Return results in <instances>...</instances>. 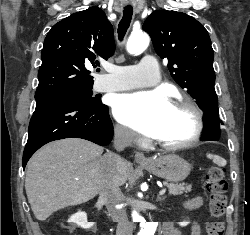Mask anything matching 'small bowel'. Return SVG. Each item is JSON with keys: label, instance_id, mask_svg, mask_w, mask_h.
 <instances>
[{"label": "small bowel", "instance_id": "1", "mask_svg": "<svg viewBox=\"0 0 250 235\" xmlns=\"http://www.w3.org/2000/svg\"><path fill=\"white\" fill-rule=\"evenodd\" d=\"M203 205V197L196 196L186 203L189 209H198ZM164 235H181L179 230H177L171 223H165L163 225ZM191 235H200V227L198 224H194L191 229Z\"/></svg>", "mask_w": 250, "mask_h": 235}]
</instances>
